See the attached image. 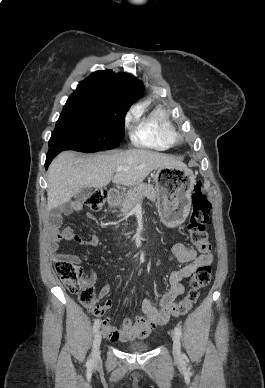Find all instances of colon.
Instances as JSON below:
<instances>
[{
    "label": "colon",
    "instance_id": "5ec220e1",
    "mask_svg": "<svg viewBox=\"0 0 265 388\" xmlns=\"http://www.w3.org/2000/svg\"><path fill=\"white\" fill-rule=\"evenodd\" d=\"M107 198L105 189H97L86 199V206L93 210H100ZM211 211V203L202 190L201 182H197L192 192V212L187 226L190 239L195 247L203 254L211 251V244L208 239L207 223ZM55 269L66 288L76 293L79 301L89 307L94 302L95 292L93 286L87 285L82 269L64 259L55 261ZM211 267L209 265L199 266L194 272L190 289L186 297L178 302L172 310L173 316L183 315L188 312L196 303L199 297V290L208 286L211 281Z\"/></svg>",
    "mask_w": 265,
    "mask_h": 388
}]
</instances>
